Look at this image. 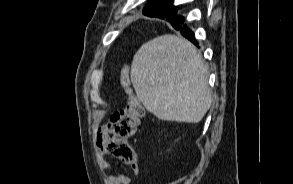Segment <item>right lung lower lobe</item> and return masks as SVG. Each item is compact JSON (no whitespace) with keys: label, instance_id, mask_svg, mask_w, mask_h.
I'll return each mask as SVG.
<instances>
[{"label":"right lung lower lobe","instance_id":"right-lung-lower-lobe-1","mask_svg":"<svg viewBox=\"0 0 293 184\" xmlns=\"http://www.w3.org/2000/svg\"><path fill=\"white\" fill-rule=\"evenodd\" d=\"M167 20L171 23V25L175 29L179 30L184 37H186L191 42H193L196 46H198L197 41L194 38V33L190 29H188L182 25V23L184 22L183 17L173 16L172 18L167 19Z\"/></svg>","mask_w":293,"mask_h":184}]
</instances>
